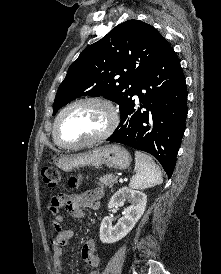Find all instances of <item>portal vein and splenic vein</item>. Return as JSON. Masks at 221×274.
<instances>
[{
	"instance_id": "portal-vein-and-splenic-vein-1",
	"label": "portal vein and splenic vein",
	"mask_w": 221,
	"mask_h": 274,
	"mask_svg": "<svg viewBox=\"0 0 221 274\" xmlns=\"http://www.w3.org/2000/svg\"><path fill=\"white\" fill-rule=\"evenodd\" d=\"M120 182H123V179L122 178H120V180H119Z\"/></svg>"
}]
</instances>
